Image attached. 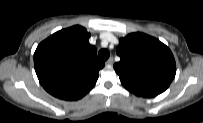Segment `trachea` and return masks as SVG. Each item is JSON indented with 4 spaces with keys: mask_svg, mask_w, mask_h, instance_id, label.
<instances>
[{
    "mask_svg": "<svg viewBox=\"0 0 203 123\" xmlns=\"http://www.w3.org/2000/svg\"><path fill=\"white\" fill-rule=\"evenodd\" d=\"M109 51L107 49H101L98 53V57L101 61H106L109 58Z\"/></svg>",
    "mask_w": 203,
    "mask_h": 123,
    "instance_id": "trachea-1",
    "label": "trachea"
}]
</instances>
